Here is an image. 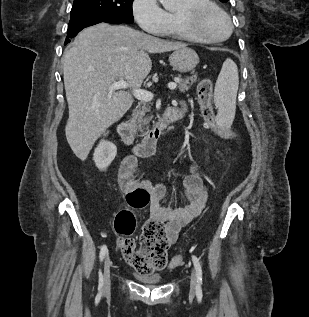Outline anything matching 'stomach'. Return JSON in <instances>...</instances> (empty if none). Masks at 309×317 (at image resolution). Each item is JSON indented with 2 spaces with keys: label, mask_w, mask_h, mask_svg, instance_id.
Wrapping results in <instances>:
<instances>
[{
  "label": "stomach",
  "mask_w": 309,
  "mask_h": 317,
  "mask_svg": "<svg viewBox=\"0 0 309 317\" xmlns=\"http://www.w3.org/2000/svg\"><path fill=\"white\" fill-rule=\"evenodd\" d=\"M169 62L174 70L186 73L196 67L199 63V57L193 49L184 47L174 50L169 57Z\"/></svg>",
  "instance_id": "stomach-1"
}]
</instances>
